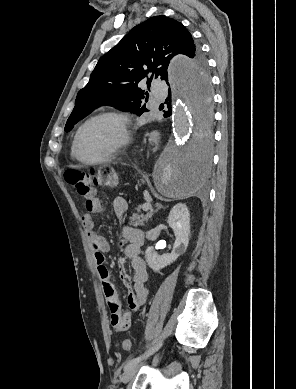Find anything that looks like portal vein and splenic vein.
I'll return each instance as SVG.
<instances>
[{"instance_id":"obj_1","label":"portal vein and splenic vein","mask_w":296,"mask_h":389,"mask_svg":"<svg viewBox=\"0 0 296 389\" xmlns=\"http://www.w3.org/2000/svg\"><path fill=\"white\" fill-rule=\"evenodd\" d=\"M151 201H152V200H150L149 202L145 203V204L142 206L143 211H148L149 209L152 208Z\"/></svg>"}]
</instances>
